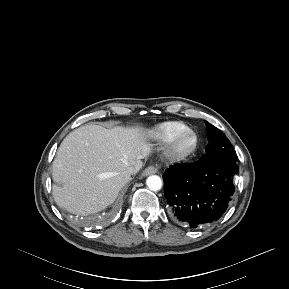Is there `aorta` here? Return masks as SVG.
<instances>
[{
  "label": "aorta",
  "instance_id": "aorta-1",
  "mask_svg": "<svg viewBox=\"0 0 289 289\" xmlns=\"http://www.w3.org/2000/svg\"><path fill=\"white\" fill-rule=\"evenodd\" d=\"M146 185L151 191H159L162 188L163 182L157 175H151L146 179Z\"/></svg>",
  "mask_w": 289,
  "mask_h": 289
}]
</instances>
